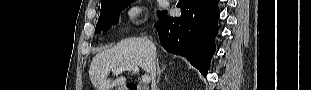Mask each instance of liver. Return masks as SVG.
<instances>
[{
  "instance_id": "6515ba94",
  "label": "liver",
  "mask_w": 311,
  "mask_h": 90,
  "mask_svg": "<svg viewBox=\"0 0 311 90\" xmlns=\"http://www.w3.org/2000/svg\"><path fill=\"white\" fill-rule=\"evenodd\" d=\"M155 58L156 47L153 42L146 38H127L96 54L90 65L89 77L96 90H111L114 86L126 82V78L122 76L114 80L107 79L111 71L126 66H137L152 75Z\"/></svg>"
}]
</instances>
